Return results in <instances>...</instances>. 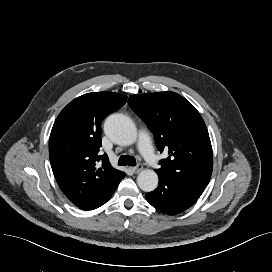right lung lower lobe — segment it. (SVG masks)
<instances>
[{
  "label": "right lung lower lobe",
  "instance_id": "right-lung-lower-lobe-1",
  "mask_svg": "<svg viewBox=\"0 0 272 272\" xmlns=\"http://www.w3.org/2000/svg\"><path fill=\"white\" fill-rule=\"evenodd\" d=\"M117 186L112 191H110L100 202H98L95 206L91 207L88 210L96 209V208L100 207L101 205H103L104 203H106L109 200V198L111 197V195L115 192Z\"/></svg>",
  "mask_w": 272,
  "mask_h": 272
}]
</instances>
